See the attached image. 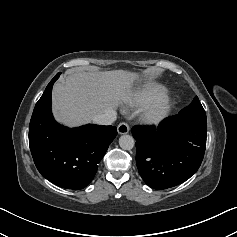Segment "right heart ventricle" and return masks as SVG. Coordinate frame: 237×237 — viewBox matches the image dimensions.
Masks as SVG:
<instances>
[{
	"instance_id": "e07e8e85",
	"label": "right heart ventricle",
	"mask_w": 237,
	"mask_h": 237,
	"mask_svg": "<svg viewBox=\"0 0 237 237\" xmlns=\"http://www.w3.org/2000/svg\"><path fill=\"white\" fill-rule=\"evenodd\" d=\"M167 90L161 85H146L135 89L127 98L131 107L143 106L166 95Z\"/></svg>"
}]
</instances>
